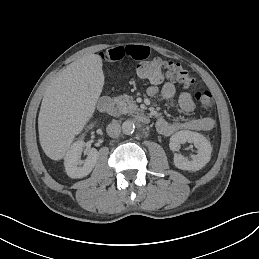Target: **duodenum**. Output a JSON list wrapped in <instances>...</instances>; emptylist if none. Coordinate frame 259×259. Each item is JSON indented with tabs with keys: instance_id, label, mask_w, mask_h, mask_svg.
Returning a JSON list of instances; mask_svg holds the SVG:
<instances>
[{
	"instance_id": "1",
	"label": "duodenum",
	"mask_w": 259,
	"mask_h": 259,
	"mask_svg": "<svg viewBox=\"0 0 259 259\" xmlns=\"http://www.w3.org/2000/svg\"><path fill=\"white\" fill-rule=\"evenodd\" d=\"M98 109L100 112L109 115H117L119 113V108L113 99L109 97H102L98 102ZM137 119L143 124L149 123V117L144 113L137 114Z\"/></svg>"
}]
</instances>
